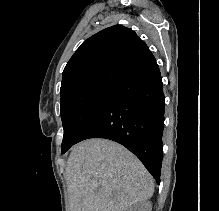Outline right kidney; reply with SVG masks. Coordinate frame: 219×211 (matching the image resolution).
Masks as SVG:
<instances>
[{"mask_svg":"<svg viewBox=\"0 0 219 211\" xmlns=\"http://www.w3.org/2000/svg\"><path fill=\"white\" fill-rule=\"evenodd\" d=\"M152 203L151 201H142V203H133L129 211H151Z\"/></svg>","mask_w":219,"mask_h":211,"instance_id":"ca27d5eb","label":"right kidney"}]
</instances>
